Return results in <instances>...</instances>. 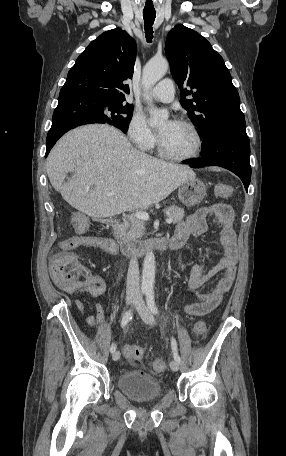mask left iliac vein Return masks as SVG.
Segmentation results:
<instances>
[{"instance_id": "left-iliac-vein-1", "label": "left iliac vein", "mask_w": 286, "mask_h": 456, "mask_svg": "<svg viewBox=\"0 0 286 456\" xmlns=\"http://www.w3.org/2000/svg\"><path fill=\"white\" fill-rule=\"evenodd\" d=\"M136 310L140 314L141 318L149 325H153L155 323V319L151 313V311L146 306L144 300L142 298H138L135 303ZM170 368L172 371L179 370V363L176 360H172L170 362Z\"/></svg>"}]
</instances>
